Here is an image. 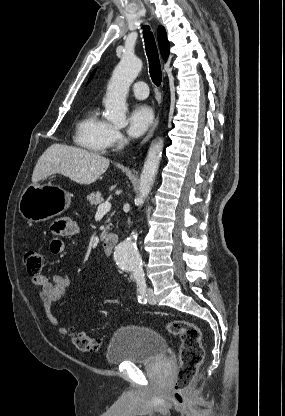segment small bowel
<instances>
[{"instance_id": "obj_1", "label": "small bowel", "mask_w": 285, "mask_h": 416, "mask_svg": "<svg viewBox=\"0 0 285 416\" xmlns=\"http://www.w3.org/2000/svg\"><path fill=\"white\" fill-rule=\"evenodd\" d=\"M51 231L54 238L50 242V251L54 255H59L65 250V243L63 237H70L78 233L79 227L70 218H61L51 226ZM33 284L38 288V296L43 303L46 315L49 322L62 335H67L69 330L60 325L58 319L52 313V304L55 301L61 300L67 293L71 285L69 276L57 273L48 279L45 275H38L33 277Z\"/></svg>"}]
</instances>
